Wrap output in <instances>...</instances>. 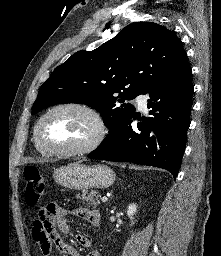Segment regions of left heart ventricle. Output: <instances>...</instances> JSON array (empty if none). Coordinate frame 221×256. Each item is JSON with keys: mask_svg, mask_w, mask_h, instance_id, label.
<instances>
[{"mask_svg": "<svg viewBox=\"0 0 221 256\" xmlns=\"http://www.w3.org/2000/svg\"><path fill=\"white\" fill-rule=\"evenodd\" d=\"M95 133L91 117L77 109H61L51 114L41 127L43 142L54 148H76Z\"/></svg>", "mask_w": 221, "mask_h": 256, "instance_id": "obj_1", "label": "left heart ventricle"}]
</instances>
